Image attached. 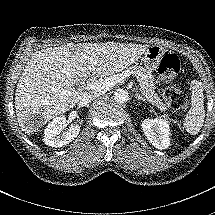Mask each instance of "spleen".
<instances>
[{"instance_id": "3e777b00", "label": "spleen", "mask_w": 215, "mask_h": 215, "mask_svg": "<svg viewBox=\"0 0 215 215\" xmlns=\"http://www.w3.org/2000/svg\"><path fill=\"white\" fill-rule=\"evenodd\" d=\"M190 109L185 115L182 127L190 135L194 136L201 130L205 118V105L203 89L198 81L191 82Z\"/></svg>"}]
</instances>
